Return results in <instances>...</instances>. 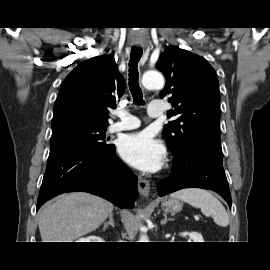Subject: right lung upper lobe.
<instances>
[{"instance_id": "cb5924a9", "label": "right lung upper lobe", "mask_w": 270, "mask_h": 270, "mask_svg": "<svg viewBox=\"0 0 270 270\" xmlns=\"http://www.w3.org/2000/svg\"><path fill=\"white\" fill-rule=\"evenodd\" d=\"M125 83L112 55L78 65L67 77L54 105L52 127L66 122L108 126V110L124 94ZM115 94V95H114Z\"/></svg>"}]
</instances>
